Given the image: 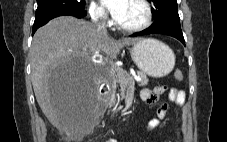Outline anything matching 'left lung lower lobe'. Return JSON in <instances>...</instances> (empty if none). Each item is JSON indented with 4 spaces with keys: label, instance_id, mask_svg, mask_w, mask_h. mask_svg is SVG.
I'll return each instance as SVG.
<instances>
[{
    "label": "left lung lower lobe",
    "instance_id": "1",
    "mask_svg": "<svg viewBox=\"0 0 227 142\" xmlns=\"http://www.w3.org/2000/svg\"><path fill=\"white\" fill-rule=\"evenodd\" d=\"M148 34L169 35V36L175 37L176 39H178L179 41H181L185 45V40H184V37H183L181 27L171 25V24H156V25L153 24L149 28H147V29H145L141 32H137V33H135L131 36L135 37V36L148 35Z\"/></svg>",
    "mask_w": 227,
    "mask_h": 142
}]
</instances>
